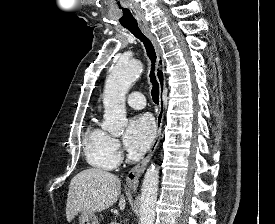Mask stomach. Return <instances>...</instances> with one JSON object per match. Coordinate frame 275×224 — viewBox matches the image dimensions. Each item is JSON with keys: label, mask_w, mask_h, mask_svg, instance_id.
I'll return each instance as SVG.
<instances>
[{"label": "stomach", "mask_w": 275, "mask_h": 224, "mask_svg": "<svg viewBox=\"0 0 275 224\" xmlns=\"http://www.w3.org/2000/svg\"><path fill=\"white\" fill-rule=\"evenodd\" d=\"M79 224H99L98 217L93 212H81L78 217Z\"/></svg>", "instance_id": "obj_1"}]
</instances>
